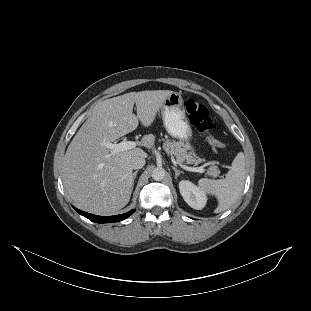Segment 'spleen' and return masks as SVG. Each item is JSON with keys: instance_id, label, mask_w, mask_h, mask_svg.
I'll use <instances>...</instances> for the list:
<instances>
[{"instance_id": "3e777b00", "label": "spleen", "mask_w": 311, "mask_h": 311, "mask_svg": "<svg viewBox=\"0 0 311 311\" xmlns=\"http://www.w3.org/2000/svg\"><path fill=\"white\" fill-rule=\"evenodd\" d=\"M244 182L245 157L243 152H238L224 179L201 178L197 181V186L206 195L216 198L218 205L214 213H219L237 201L242 194Z\"/></svg>"}]
</instances>
